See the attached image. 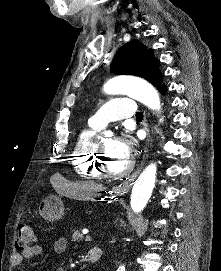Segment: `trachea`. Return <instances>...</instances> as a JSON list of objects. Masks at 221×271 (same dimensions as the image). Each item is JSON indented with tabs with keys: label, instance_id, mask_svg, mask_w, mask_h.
<instances>
[{
	"label": "trachea",
	"instance_id": "trachea-1",
	"mask_svg": "<svg viewBox=\"0 0 221 271\" xmlns=\"http://www.w3.org/2000/svg\"><path fill=\"white\" fill-rule=\"evenodd\" d=\"M136 118L138 121H142L143 119V113L141 111H137Z\"/></svg>",
	"mask_w": 221,
	"mask_h": 271
}]
</instances>
